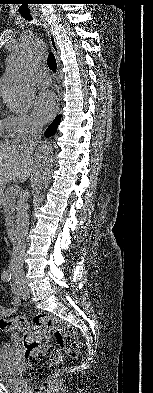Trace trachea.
I'll list each match as a JSON object with an SVG mask.
<instances>
[{"mask_svg":"<svg viewBox=\"0 0 153 393\" xmlns=\"http://www.w3.org/2000/svg\"><path fill=\"white\" fill-rule=\"evenodd\" d=\"M22 16L25 18V20L31 21L32 20V16L30 14H22ZM47 64L48 67L51 71L56 72L57 70V62L55 59V56L53 53H50L47 59Z\"/></svg>","mask_w":153,"mask_h":393,"instance_id":"obj_1","label":"trachea"}]
</instances>
